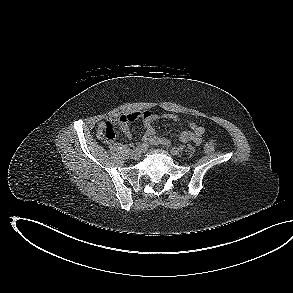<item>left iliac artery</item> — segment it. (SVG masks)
Wrapping results in <instances>:
<instances>
[{"label": "left iliac artery", "mask_w": 293, "mask_h": 293, "mask_svg": "<svg viewBox=\"0 0 293 293\" xmlns=\"http://www.w3.org/2000/svg\"><path fill=\"white\" fill-rule=\"evenodd\" d=\"M184 148H185V146H184V145H180V150H181V151H183V150H184Z\"/></svg>", "instance_id": "obj_1"}]
</instances>
